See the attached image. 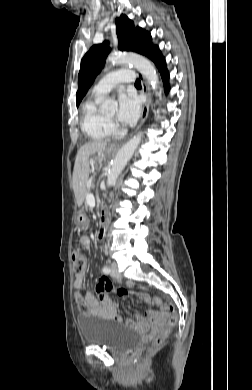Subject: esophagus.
Instances as JSON below:
<instances>
[{
	"mask_svg": "<svg viewBox=\"0 0 252 390\" xmlns=\"http://www.w3.org/2000/svg\"><path fill=\"white\" fill-rule=\"evenodd\" d=\"M138 76L141 80L142 93L145 95L146 100H145V103H144L143 108H142L141 120H140L139 125L137 126V129H139L141 127V125L144 123V121L146 120L147 115H148V111H149V106L151 103V95H150V91H149V85H148L145 77L141 73H139Z\"/></svg>",
	"mask_w": 252,
	"mask_h": 390,
	"instance_id": "1",
	"label": "esophagus"
}]
</instances>
